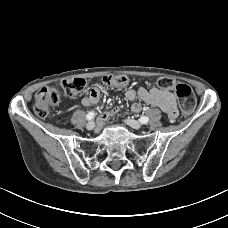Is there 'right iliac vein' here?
I'll use <instances>...</instances> for the list:
<instances>
[{
	"label": "right iliac vein",
	"mask_w": 228,
	"mask_h": 228,
	"mask_svg": "<svg viewBox=\"0 0 228 228\" xmlns=\"http://www.w3.org/2000/svg\"><path fill=\"white\" fill-rule=\"evenodd\" d=\"M94 127H95V123L93 121L88 122L86 125V128L88 130H92V129H94Z\"/></svg>",
	"instance_id": "63e3f726"
}]
</instances>
